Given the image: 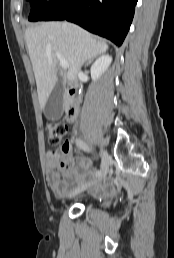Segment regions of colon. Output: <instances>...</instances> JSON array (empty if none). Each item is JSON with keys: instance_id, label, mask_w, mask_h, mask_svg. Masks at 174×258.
Here are the masks:
<instances>
[{"instance_id": "5ec220e1", "label": "colon", "mask_w": 174, "mask_h": 258, "mask_svg": "<svg viewBox=\"0 0 174 258\" xmlns=\"http://www.w3.org/2000/svg\"><path fill=\"white\" fill-rule=\"evenodd\" d=\"M68 132V126L63 122H49L46 125L47 140L51 146H58L61 144L63 138ZM68 151V144L64 143L59 149L51 151V156L61 162V169L64 172L72 170V163L65 158Z\"/></svg>"}]
</instances>
